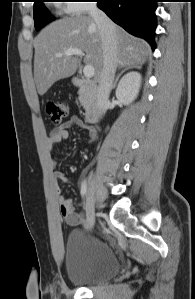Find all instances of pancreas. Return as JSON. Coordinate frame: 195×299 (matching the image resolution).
Returning <instances> with one entry per match:
<instances>
[{"label":"pancreas","instance_id":"obj_1","mask_svg":"<svg viewBox=\"0 0 195 299\" xmlns=\"http://www.w3.org/2000/svg\"><path fill=\"white\" fill-rule=\"evenodd\" d=\"M79 101L84 109H88L90 106L91 95L87 89L82 88L79 90Z\"/></svg>","mask_w":195,"mask_h":299}]
</instances>
